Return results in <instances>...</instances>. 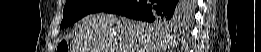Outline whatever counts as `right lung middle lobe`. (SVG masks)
Returning <instances> with one entry per match:
<instances>
[{
  "instance_id": "obj_1",
  "label": "right lung middle lobe",
  "mask_w": 261,
  "mask_h": 52,
  "mask_svg": "<svg viewBox=\"0 0 261 52\" xmlns=\"http://www.w3.org/2000/svg\"><path fill=\"white\" fill-rule=\"evenodd\" d=\"M118 2L117 0H67L60 28L67 27L90 13L101 12ZM189 5V1H182V7L186 11L190 9ZM179 22H182L181 17L155 20V23H160L166 29H172Z\"/></svg>"
}]
</instances>
